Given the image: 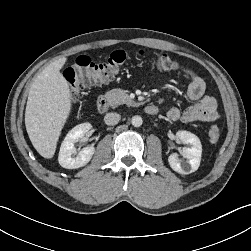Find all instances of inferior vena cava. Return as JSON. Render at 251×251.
Returning a JSON list of instances; mask_svg holds the SVG:
<instances>
[{
  "label": "inferior vena cava",
  "instance_id": "602c4592",
  "mask_svg": "<svg viewBox=\"0 0 251 251\" xmlns=\"http://www.w3.org/2000/svg\"><path fill=\"white\" fill-rule=\"evenodd\" d=\"M120 115L118 113L115 112H111V113H107L104 117V122L107 125H115L119 122L120 120Z\"/></svg>",
  "mask_w": 251,
  "mask_h": 251
}]
</instances>
